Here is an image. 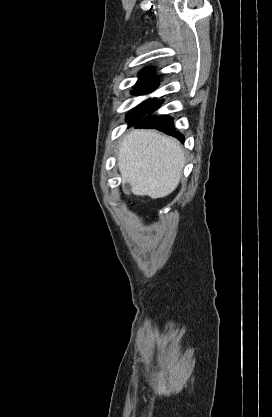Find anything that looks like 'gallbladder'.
Instances as JSON below:
<instances>
[{
    "mask_svg": "<svg viewBox=\"0 0 272 417\" xmlns=\"http://www.w3.org/2000/svg\"><path fill=\"white\" fill-rule=\"evenodd\" d=\"M131 185L129 184V183H126L124 186H123V190H124V192H126V193H129V192H131Z\"/></svg>",
    "mask_w": 272,
    "mask_h": 417,
    "instance_id": "1",
    "label": "gallbladder"
}]
</instances>
